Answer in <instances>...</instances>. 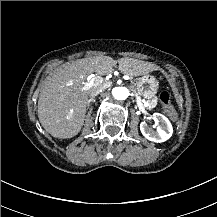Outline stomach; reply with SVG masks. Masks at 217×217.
Masks as SVG:
<instances>
[{
  "label": "stomach",
  "mask_w": 217,
  "mask_h": 217,
  "mask_svg": "<svg viewBox=\"0 0 217 217\" xmlns=\"http://www.w3.org/2000/svg\"><path fill=\"white\" fill-rule=\"evenodd\" d=\"M159 88V82L155 76L145 74L138 79L137 90L145 98H152L155 96Z\"/></svg>",
  "instance_id": "1"
}]
</instances>
